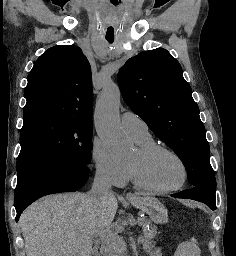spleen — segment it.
I'll use <instances>...</instances> for the list:
<instances>
[{
	"mask_svg": "<svg viewBox=\"0 0 236 256\" xmlns=\"http://www.w3.org/2000/svg\"><path fill=\"white\" fill-rule=\"evenodd\" d=\"M175 256H201V250L197 244V240L192 238L190 242H183L178 246Z\"/></svg>",
	"mask_w": 236,
	"mask_h": 256,
	"instance_id": "3e777b00",
	"label": "spleen"
}]
</instances>
